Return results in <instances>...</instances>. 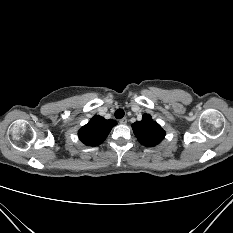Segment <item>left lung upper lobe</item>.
Segmentation results:
<instances>
[{
    "mask_svg": "<svg viewBox=\"0 0 233 233\" xmlns=\"http://www.w3.org/2000/svg\"><path fill=\"white\" fill-rule=\"evenodd\" d=\"M132 129L139 142L146 147L158 145L165 137V131L149 114H144L141 121L133 123Z\"/></svg>",
    "mask_w": 233,
    "mask_h": 233,
    "instance_id": "obj_1",
    "label": "left lung upper lobe"
}]
</instances>
